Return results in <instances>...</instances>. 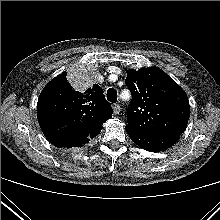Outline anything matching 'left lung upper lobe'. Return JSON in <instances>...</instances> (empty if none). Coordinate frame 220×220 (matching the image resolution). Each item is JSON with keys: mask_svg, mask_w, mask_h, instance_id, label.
Returning <instances> with one entry per match:
<instances>
[{"mask_svg": "<svg viewBox=\"0 0 220 220\" xmlns=\"http://www.w3.org/2000/svg\"><path fill=\"white\" fill-rule=\"evenodd\" d=\"M132 93L128 127L156 135H181L190 106L185 91L157 67L128 70L125 80Z\"/></svg>", "mask_w": 220, "mask_h": 220, "instance_id": "5c2ea615", "label": "left lung upper lobe"}]
</instances>
